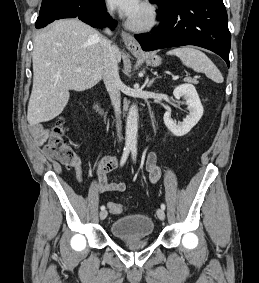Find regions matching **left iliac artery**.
<instances>
[{
    "label": "left iliac artery",
    "instance_id": "obj_1",
    "mask_svg": "<svg viewBox=\"0 0 259 283\" xmlns=\"http://www.w3.org/2000/svg\"><path fill=\"white\" fill-rule=\"evenodd\" d=\"M131 152H132V158L134 161H136V156H137V148L136 147H132L131 148ZM161 208L163 210H165V204H161Z\"/></svg>",
    "mask_w": 259,
    "mask_h": 283
}]
</instances>
